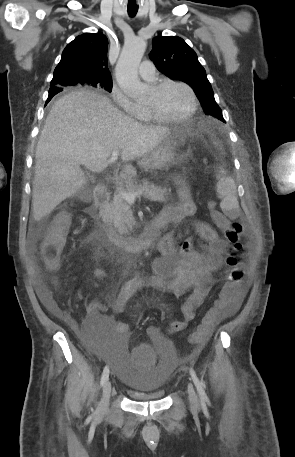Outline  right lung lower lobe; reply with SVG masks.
Instances as JSON below:
<instances>
[{
    "instance_id": "1",
    "label": "right lung lower lobe",
    "mask_w": 295,
    "mask_h": 457,
    "mask_svg": "<svg viewBox=\"0 0 295 457\" xmlns=\"http://www.w3.org/2000/svg\"><path fill=\"white\" fill-rule=\"evenodd\" d=\"M60 91H62V89L60 88H50L49 90V96H48V99H47V102L46 104L51 100V98L56 95L57 93H59Z\"/></svg>"
}]
</instances>
